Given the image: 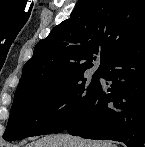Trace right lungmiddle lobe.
Wrapping results in <instances>:
<instances>
[{
  "label": "right lung middle lobe",
  "instance_id": "1",
  "mask_svg": "<svg viewBox=\"0 0 145 147\" xmlns=\"http://www.w3.org/2000/svg\"><path fill=\"white\" fill-rule=\"evenodd\" d=\"M100 72L90 84L83 75L56 88H31L16 92L5 140L60 133L89 105L100 87Z\"/></svg>",
  "mask_w": 145,
  "mask_h": 147
}]
</instances>
